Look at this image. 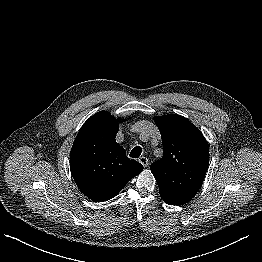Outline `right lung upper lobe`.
<instances>
[{
  "mask_svg": "<svg viewBox=\"0 0 262 262\" xmlns=\"http://www.w3.org/2000/svg\"><path fill=\"white\" fill-rule=\"evenodd\" d=\"M120 122L109 112L100 111L84 123L74 140L71 173L78 188L93 201L115 197L143 170L140 163L127 158L115 140Z\"/></svg>",
  "mask_w": 262,
  "mask_h": 262,
  "instance_id": "cb5924a9",
  "label": "right lung upper lobe"
}]
</instances>
